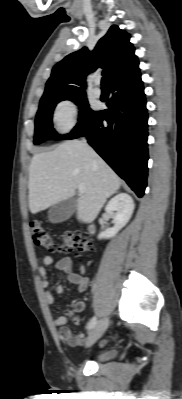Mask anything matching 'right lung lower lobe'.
<instances>
[{
	"label": "right lung lower lobe",
	"mask_w": 182,
	"mask_h": 399,
	"mask_svg": "<svg viewBox=\"0 0 182 399\" xmlns=\"http://www.w3.org/2000/svg\"><path fill=\"white\" fill-rule=\"evenodd\" d=\"M110 92L113 96L107 103L109 109L94 112L80 131L73 130L63 138L86 136L96 152L142 197L149 157L148 116L140 72L113 83Z\"/></svg>",
	"instance_id": "98d812e1"
}]
</instances>
